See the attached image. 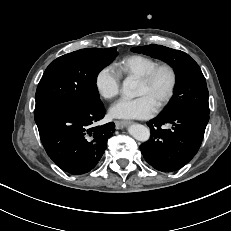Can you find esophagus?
<instances>
[{"label":"esophagus","instance_id":"34e87169","mask_svg":"<svg viewBox=\"0 0 231 231\" xmlns=\"http://www.w3.org/2000/svg\"><path fill=\"white\" fill-rule=\"evenodd\" d=\"M130 124H132L131 121H125V120H123V121L122 120L115 121V125H116L117 129H122V128L130 125Z\"/></svg>","mask_w":231,"mask_h":231}]
</instances>
